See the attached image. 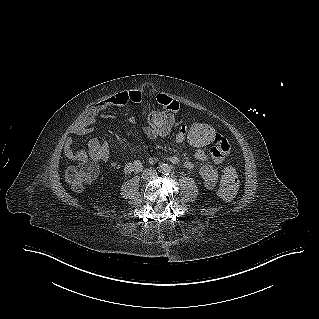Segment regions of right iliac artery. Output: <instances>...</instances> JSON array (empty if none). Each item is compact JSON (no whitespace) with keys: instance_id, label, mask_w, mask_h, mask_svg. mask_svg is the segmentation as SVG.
Masks as SVG:
<instances>
[{"instance_id":"82829eb1","label":"right iliac artery","mask_w":319,"mask_h":319,"mask_svg":"<svg viewBox=\"0 0 319 319\" xmlns=\"http://www.w3.org/2000/svg\"><path fill=\"white\" fill-rule=\"evenodd\" d=\"M165 170H166V168L162 165V166H160V167H158V172H162V173H164L165 172Z\"/></svg>"}]
</instances>
